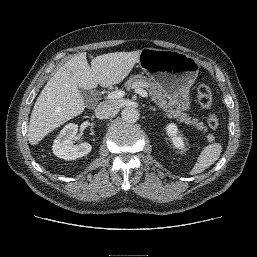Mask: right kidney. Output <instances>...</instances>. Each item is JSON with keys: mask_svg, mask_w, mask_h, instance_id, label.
I'll return each instance as SVG.
<instances>
[{"mask_svg": "<svg viewBox=\"0 0 257 257\" xmlns=\"http://www.w3.org/2000/svg\"><path fill=\"white\" fill-rule=\"evenodd\" d=\"M78 125L69 123L60 131L52 146L53 153L64 160H75L91 152L92 146L87 143L73 145Z\"/></svg>", "mask_w": 257, "mask_h": 257, "instance_id": "ca27d5eb", "label": "right kidney"}]
</instances>
